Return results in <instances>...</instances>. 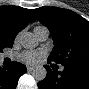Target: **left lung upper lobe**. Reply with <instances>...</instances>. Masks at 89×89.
<instances>
[{"mask_svg":"<svg viewBox=\"0 0 89 89\" xmlns=\"http://www.w3.org/2000/svg\"><path fill=\"white\" fill-rule=\"evenodd\" d=\"M52 35L54 48L49 61L64 67H89V22L73 11L41 7L31 10Z\"/></svg>","mask_w":89,"mask_h":89,"instance_id":"obj_1","label":"left lung upper lobe"}]
</instances>
